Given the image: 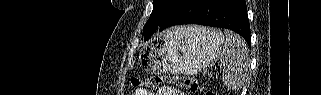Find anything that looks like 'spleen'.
I'll return each mask as SVG.
<instances>
[{
    "mask_svg": "<svg viewBox=\"0 0 321 95\" xmlns=\"http://www.w3.org/2000/svg\"><path fill=\"white\" fill-rule=\"evenodd\" d=\"M224 34L226 41L220 54V61L223 64L222 80L228 89L239 90L246 80L249 50L246 42L239 35L228 30L224 31Z\"/></svg>",
    "mask_w": 321,
    "mask_h": 95,
    "instance_id": "1",
    "label": "spleen"
}]
</instances>
